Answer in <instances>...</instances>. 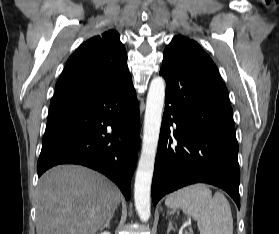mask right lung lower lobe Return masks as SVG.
I'll return each mask as SVG.
<instances>
[{
	"instance_id": "right-lung-lower-lobe-1",
	"label": "right lung lower lobe",
	"mask_w": 279,
	"mask_h": 234,
	"mask_svg": "<svg viewBox=\"0 0 279 234\" xmlns=\"http://www.w3.org/2000/svg\"><path fill=\"white\" fill-rule=\"evenodd\" d=\"M139 107L130 73L99 91L50 105L38 176L81 164L115 182L126 200L139 143Z\"/></svg>"
}]
</instances>
